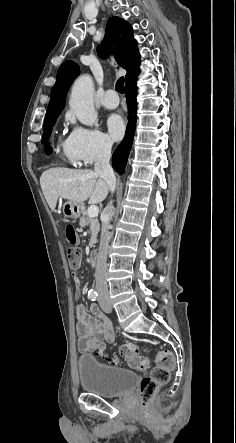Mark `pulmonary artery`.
I'll list each match as a JSON object with an SVG mask.
<instances>
[{"mask_svg": "<svg viewBox=\"0 0 236 443\" xmlns=\"http://www.w3.org/2000/svg\"><path fill=\"white\" fill-rule=\"evenodd\" d=\"M115 94V91L110 89L107 90L100 99V103L103 107L107 109H114L118 106L119 102L117 100L110 99L111 96Z\"/></svg>", "mask_w": 236, "mask_h": 443, "instance_id": "e3ab8cb5", "label": "pulmonary artery"}]
</instances>
